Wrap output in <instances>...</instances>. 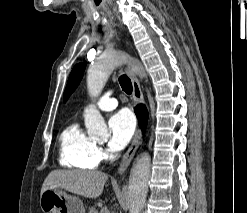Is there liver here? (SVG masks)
I'll use <instances>...</instances> for the list:
<instances>
[{
  "label": "liver",
  "instance_id": "6515ba94",
  "mask_svg": "<svg viewBox=\"0 0 247 213\" xmlns=\"http://www.w3.org/2000/svg\"><path fill=\"white\" fill-rule=\"evenodd\" d=\"M108 179L106 173L85 170H54L48 174L41 193L47 189H65L73 194L87 198H97Z\"/></svg>",
  "mask_w": 247,
  "mask_h": 213
}]
</instances>
